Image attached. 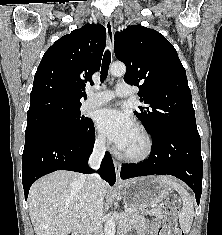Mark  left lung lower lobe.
I'll use <instances>...</instances> for the list:
<instances>
[{
    "instance_id": "left-lung-lower-lobe-1",
    "label": "left lung lower lobe",
    "mask_w": 222,
    "mask_h": 235,
    "mask_svg": "<svg viewBox=\"0 0 222 235\" xmlns=\"http://www.w3.org/2000/svg\"><path fill=\"white\" fill-rule=\"evenodd\" d=\"M201 141L199 134L167 130L152 137L149 158L121 167L122 179L146 175H173L184 181L195 193L199 204L202 193Z\"/></svg>"
}]
</instances>
